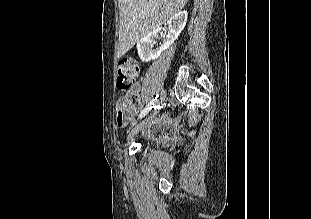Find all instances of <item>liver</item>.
I'll return each mask as SVG.
<instances>
[{"label": "liver", "mask_w": 311, "mask_h": 219, "mask_svg": "<svg viewBox=\"0 0 311 219\" xmlns=\"http://www.w3.org/2000/svg\"><path fill=\"white\" fill-rule=\"evenodd\" d=\"M187 1L118 0L120 11L118 57H122L136 42L180 12Z\"/></svg>", "instance_id": "1"}]
</instances>
